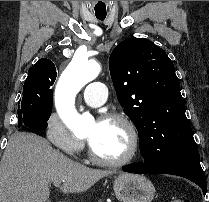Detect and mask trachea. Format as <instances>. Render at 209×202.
<instances>
[{"label":"trachea","instance_id":"3493384b","mask_svg":"<svg viewBox=\"0 0 209 202\" xmlns=\"http://www.w3.org/2000/svg\"><path fill=\"white\" fill-rule=\"evenodd\" d=\"M97 19L103 21L106 18V15H96Z\"/></svg>","mask_w":209,"mask_h":202}]
</instances>
